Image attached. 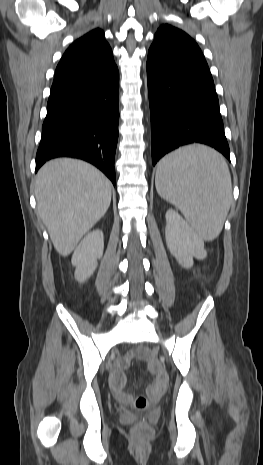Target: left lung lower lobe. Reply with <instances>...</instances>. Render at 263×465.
Masks as SVG:
<instances>
[{"mask_svg":"<svg viewBox=\"0 0 263 465\" xmlns=\"http://www.w3.org/2000/svg\"><path fill=\"white\" fill-rule=\"evenodd\" d=\"M147 81L153 165L191 143L209 145L230 161L218 97L203 55L151 46Z\"/></svg>","mask_w":263,"mask_h":465,"instance_id":"obj_1","label":"left lung lower lobe"}]
</instances>
